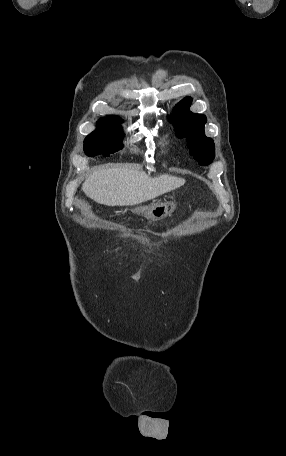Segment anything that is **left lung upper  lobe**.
I'll return each mask as SVG.
<instances>
[{"mask_svg":"<svg viewBox=\"0 0 286 456\" xmlns=\"http://www.w3.org/2000/svg\"><path fill=\"white\" fill-rule=\"evenodd\" d=\"M191 102L192 99L190 97H186L179 102L169 120L175 127L176 136L187 138L190 154L194 155V158L200 164L208 165L215 156L214 143L204 133L206 117L190 112Z\"/></svg>","mask_w":286,"mask_h":456,"instance_id":"5c2ea615","label":"left lung upper lobe"}]
</instances>
